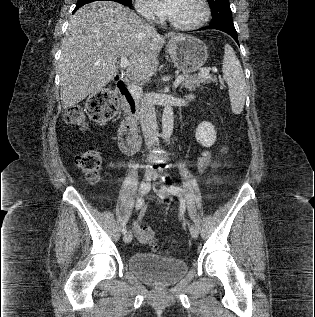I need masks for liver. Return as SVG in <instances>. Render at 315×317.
Returning <instances> with one entry per match:
<instances>
[{
	"mask_svg": "<svg viewBox=\"0 0 315 317\" xmlns=\"http://www.w3.org/2000/svg\"><path fill=\"white\" fill-rule=\"evenodd\" d=\"M165 38L129 8L112 1L81 7L62 39L60 95L63 108L99 92L117 74V57L129 58L126 76L149 80Z\"/></svg>",
	"mask_w": 315,
	"mask_h": 317,
	"instance_id": "6515ba94",
	"label": "liver"
}]
</instances>
